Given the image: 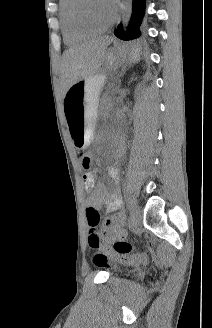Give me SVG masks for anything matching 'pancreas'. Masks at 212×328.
<instances>
[{
	"mask_svg": "<svg viewBox=\"0 0 212 328\" xmlns=\"http://www.w3.org/2000/svg\"><path fill=\"white\" fill-rule=\"evenodd\" d=\"M101 107L104 108V109H109L111 107L110 99L107 98V97L103 98L102 103H101Z\"/></svg>",
	"mask_w": 212,
	"mask_h": 328,
	"instance_id": "obj_1",
	"label": "pancreas"
}]
</instances>
